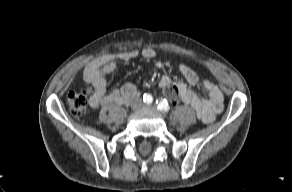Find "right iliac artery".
Instances as JSON below:
<instances>
[{"instance_id":"right-iliac-artery-1","label":"right iliac artery","mask_w":292,"mask_h":192,"mask_svg":"<svg viewBox=\"0 0 292 192\" xmlns=\"http://www.w3.org/2000/svg\"><path fill=\"white\" fill-rule=\"evenodd\" d=\"M143 101L146 103V104H151L152 101H153V98L150 94H144L143 95Z\"/></svg>"}]
</instances>
